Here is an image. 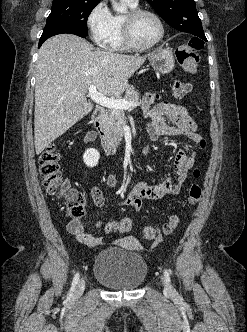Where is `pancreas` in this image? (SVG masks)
<instances>
[{
    "mask_svg": "<svg viewBox=\"0 0 247 332\" xmlns=\"http://www.w3.org/2000/svg\"><path fill=\"white\" fill-rule=\"evenodd\" d=\"M124 99L126 101H133L137 105L140 104L139 93L132 86L127 88ZM125 125L126 118L123 109L108 110L101 121V129L105 137L114 146H118L122 141Z\"/></svg>",
    "mask_w": 247,
    "mask_h": 332,
    "instance_id": "1",
    "label": "pancreas"
}]
</instances>
